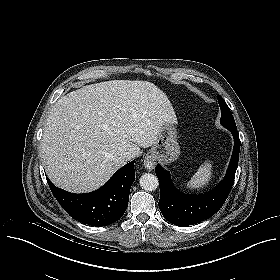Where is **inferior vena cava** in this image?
<instances>
[{"label": "inferior vena cava", "instance_id": "inferior-vena-cava-1", "mask_svg": "<svg viewBox=\"0 0 280 280\" xmlns=\"http://www.w3.org/2000/svg\"><path fill=\"white\" fill-rule=\"evenodd\" d=\"M135 153H133V152H125L124 154H123V159L127 162V161H130V160H132V159H134L135 158Z\"/></svg>", "mask_w": 280, "mask_h": 280}]
</instances>
